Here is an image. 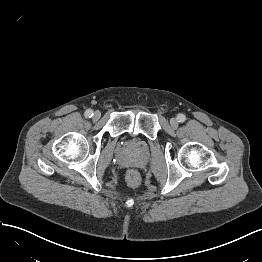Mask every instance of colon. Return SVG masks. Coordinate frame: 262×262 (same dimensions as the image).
Segmentation results:
<instances>
[{"label":"colon","mask_w":262,"mask_h":262,"mask_svg":"<svg viewBox=\"0 0 262 262\" xmlns=\"http://www.w3.org/2000/svg\"><path fill=\"white\" fill-rule=\"evenodd\" d=\"M127 183L130 187L135 188L140 184V175L137 171L131 170L127 174Z\"/></svg>","instance_id":"colon-1"}]
</instances>
